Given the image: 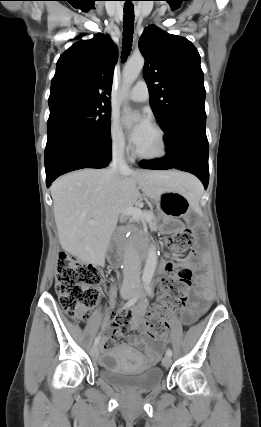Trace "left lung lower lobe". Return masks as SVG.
<instances>
[{
	"mask_svg": "<svg viewBox=\"0 0 261 427\" xmlns=\"http://www.w3.org/2000/svg\"><path fill=\"white\" fill-rule=\"evenodd\" d=\"M206 113L187 110L177 114L164 130L165 157L140 162L142 168L187 171L208 186L209 145L205 132Z\"/></svg>",
	"mask_w": 261,
	"mask_h": 427,
	"instance_id": "obj_1",
	"label": "left lung lower lobe"
}]
</instances>
